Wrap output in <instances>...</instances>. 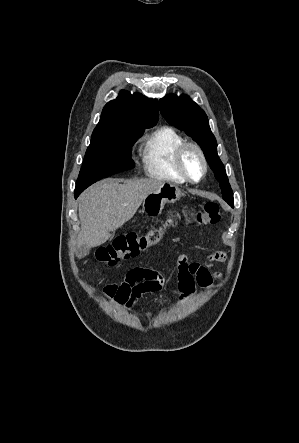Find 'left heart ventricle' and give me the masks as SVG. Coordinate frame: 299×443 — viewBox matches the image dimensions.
<instances>
[{"mask_svg":"<svg viewBox=\"0 0 299 443\" xmlns=\"http://www.w3.org/2000/svg\"><path fill=\"white\" fill-rule=\"evenodd\" d=\"M185 166L190 174V176L194 179H197L202 172V164L194 150H190L185 157Z\"/></svg>","mask_w":299,"mask_h":443,"instance_id":"1","label":"left heart ventricle"}]
</instances>
